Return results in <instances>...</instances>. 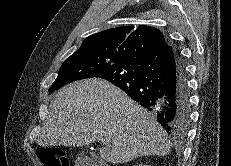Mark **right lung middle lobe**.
Instances as JSON below:
<instances>
[{"label":"right lung middle lobe","mask_w":231,"mask_h":166,"mask_svg":"<svg viewBox=\"0 0 231 166\" xmlns=\"http://www.w3.org/2000/svg\"><path fill=\"white\" fill-rule=\"evenodd\" d=\"M122 61L124 59L121 57L106 55L95 50L76 51L60 67L59 74L49 89V94L70 82L95 77Z\"/></svg>","instance_id":"right-lung-middle-lobe-1"}]
</instances>
